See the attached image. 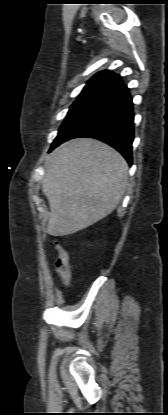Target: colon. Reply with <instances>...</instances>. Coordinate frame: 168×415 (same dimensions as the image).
Listing matches in <instances>:
<instances>
[{
  "mask_svg": "<svg viewBox=\"0 0 168 415\" xmlns=\"http://www.w3.org/2000/svg\"><path fill=\"white\" fill-rule=\"evenodd\" d=\"M56 248H57V251H58V260H57V263H56V272H57L59 278L61 279L62 283L64 285H67L69 283V279H70V267H69L68 254L59 242H56Z\"/></svg>",
  "mask_w": 168,
  "mask_h": 415,
  "instance_id": "1",
  "label": "colon"
}]
</instances>
